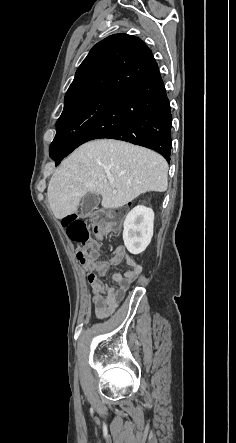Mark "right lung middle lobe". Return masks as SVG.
Masks as SVG:
<instances>
[{
  "instance_id": "1",
  "label": "right lung middle lobe",
  "mask_w": 236,
  "mask_h": 443,
  "mask_svg": "<svg viewBox=\"0 0 236 443\" xmlns=\"http://www.w3.org/2000/svg\"><path fill=\"white\" fill-rule=\"evenodd\" d=\"M113 96V94H97L65 108L57 120V133L50 149H67L77 129Z\"/></svg>"
}]
</instances>
